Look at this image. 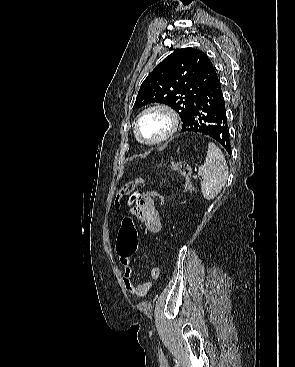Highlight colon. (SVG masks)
<instances>
[{"label": "colon", "instance_id": "obj_1", "mask_svg": "<svg viewBox=\"0 0 295 367\" xmlns=\"http://www.w3.org/2000/svg\"><path fill=\"white\" fill-rule=\"evenodd\" d=\"M170 170L178 173L185 179L183 185V191L185 193H192L194 191V184L191 180V168L187 162H172L170 164ZM143 182L144 180L142 178H137L123 185L116 197L117 205H121L124 202L130 204L131 200L136 194V191L138 196H153L155 194L153 189L137 190L138 186H140ZM154 199L156 200V204L158 206H164L166 203L165 201H167L168 198L165 195H159ZM136 243L137 235L133 221L130 217H126L123 221L119 235L120 248L123 252H130L136 248Z\"/></svg>", "mask_w": 295, "mask_h": 367}]
</instances>
